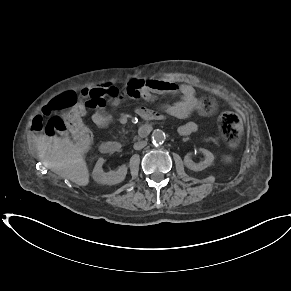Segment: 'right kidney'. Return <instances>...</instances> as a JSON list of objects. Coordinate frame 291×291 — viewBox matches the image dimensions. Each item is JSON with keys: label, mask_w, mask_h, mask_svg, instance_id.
Masks as SVG:
<instances>
[{"label": "right kidney", "mask_w": 291, "mask_h": 291, "mask_svg": "<svg viewBox=\"0 0 291 291\" xmlns=\"http://www.w3.org/2000/svg\"><path fill=\"white\" fill-rule=\"evenodd\" d=\"M104 159L99 158L94 170H93V179L100 184H107V185H115L120 182H122L127 174V166L122 165L119 167V169L115 172L111 171L108 173H105L102 169V166L104 164Z\"/></svg>", "instance_id": "right-kidney-1"}]
</instances>
